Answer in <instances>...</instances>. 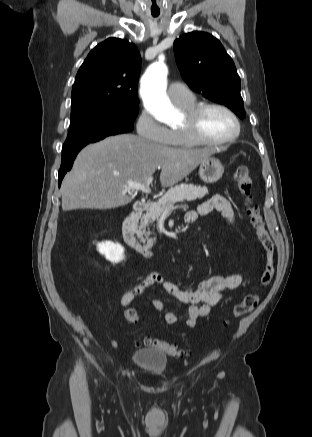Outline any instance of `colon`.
I'll list each match as a JSON object with an SVG mask.
<instances>
[{
    "label": "colon",
    "mask_w": 312,
    "mask_h": 437,
    "mask_svg": "<svg viewBox=\"0 0 312 437\" xmlns=\"http://www.w3.org/2000/svg\"><path fill=\"white\" fill-rule=\"evenodd\" d=\"M234 179L238 185L239 191L244 198L246 213L255 230L258 241L264 250V267L260 278V283L265 286L270 281L274 274L275 268V252L274 242L269 233L265 229L260 210L253 200V178L250 169L245 165H240L236 168ZM259 297L257 294H248L234 308V315L242 317L250 313L258 304ZM125 320L134 324L139 319V313L135 308H127L124 312ZM143 344L154 347L171 356H180L182 351L174 345H171L160 339L153 337H145Z\"/></svg>",
    "instance_id": "obj_1"
}]
</instances>
